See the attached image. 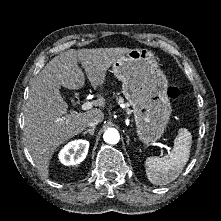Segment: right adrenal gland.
Masks as SVG:
<instances>
[{"mask_svg":"<svg viewBox=\"0 0 221 221\" xmlns=\"http://www.w3.org/2000/svg\"><path fill=\"white\" fill-rule=\"evenodd\" d=\"M95 129H96L95 127L88 129V130L84 131L83 134L85 135V134L89 133L90 135L93 136Z\"/></svg>","mask_w":221,"mask_h":221,"instance_id":"obj_1","label":"right adrenal gland"}]
</instances>
